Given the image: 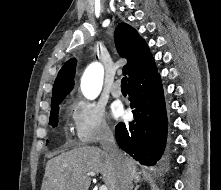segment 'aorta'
Here are the masks:
<instances>
[{"label": "aorta", "instance_id": "1", "mask_svg": "<svg viewBox=\"0 0 221 190\" xmlns=\"http://www.w3.org/2000/svg\"><path fill=\"white\" fill-rule=\"evenodd\" d=\"M104 69L98 63L88 66L81 80V91L87 99H95L101 92L103 84Z\"/></svg>", "mask_w": 221, "mask_h": 190}]
</instances>
